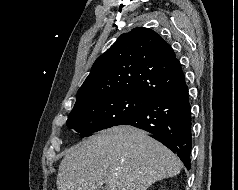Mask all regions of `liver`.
<instances>
[{
    "label": "liver",
    "instance_id": "1",
    "mask_svg": "<svg viewBox=\"0 0 238 190\" xmlns=\"http://www.w3.org/2000/svg\"><path fill=\"white\" fill-rule=\"evenodd\" d=\"M180 159L140 129L114 126L70 148L59 165L58 190H147L178 175Z\"/></svg>",
    "mask_w": 238,
    "mask_h": 190
}]
</instances>
